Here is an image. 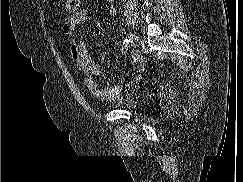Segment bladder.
<instances>
[{"instance_id": "obj_1", "label": "bladder", "mask_w": 243, "mask_h": 182, "mask_svg": "<svg viewBox=\"0 0 243 182\" xmlns=\"http://www.w3.org/2000/svg\"><path fill=\"white\" fill-rule=\"evenodd\" d=\"M146 102V95L137 90H130L125 92L114 103L115 109H134L144 105Z\"/></svg>"}]
</instances>
